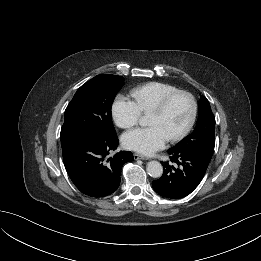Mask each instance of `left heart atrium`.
<instances>
[{
  "instance_id": "obj_1",
  "label": "left heart atrium",
  "mask_w": 261,
  "mask_h": 261,
  "mask_svg": "<svg viewBox=\"0 0 261 261\" xmlns=\"http://www.w3.org/2000/svg\"><path fill=\"white\" fill-rule=\"evenodd\" d=\"M169 137L157 125L137 128L123 135L125 148L141 154L150 155L164 147Z\"/></svg>"
}]
</instances>
